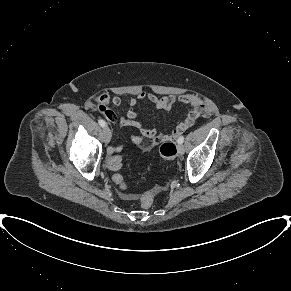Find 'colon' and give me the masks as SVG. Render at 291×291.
Instances as JSON below:
<instances>
[{"instance_id": "obj_1", "label": "colon", "mask_w": 291, "mask_h": 291, "mask_svg": "<svg viewBox=\"0 0 291 291\" xmlns=\"http://www.w3.org/2000/svg\"><path fill=\"white\" fill-rule=\"evenodd\" d=\"M160 156L166 161H171L177 154V148L173 141L164 142L159 149ZM108 168L114 173L113 180L122 190L126 189V183L121 175L120 171L123 165L122 158L119 155H110L108 162ZM154 191L150 190L143 193L140 197V205L144 209H149L154 203Z\"/></svg>"}]
</instances>
